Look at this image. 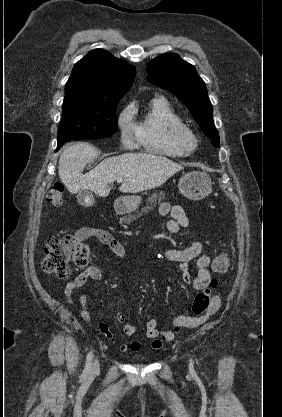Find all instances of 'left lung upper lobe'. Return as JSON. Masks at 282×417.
I'll return each mask as SVG.
<instances>
[{
    "instance_id": "1",
    "label": "left lung upper lobe",
    "mask_w": 282,
    "mask_h": 417,
    "mask_svg": "<svg viewBox=\"0 0 282 417\" xmlns=\"http://www.w3.org/2000/svg\"><path fill=\"white\" fill-rule=\"evenodd\" d=\"M146 71L148 81L176 95L188 107L213 146L219 147V134L213 123V107L205 83L194 66L177 54L168 53L151 60Z\"/></svg>"
}]
</instances>
